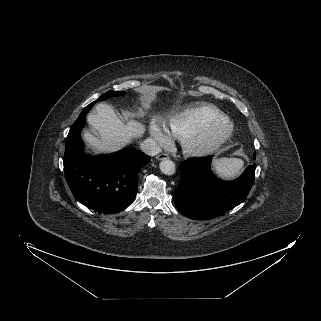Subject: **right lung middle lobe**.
Here are the masks:
<instances>
[{
    "label": "right lung middle lobe",
    "mask_w": 321,
    "mask_h": 321,
    "mask_svg": "<svg viewBox=\"0 0 321 321\" xmlns=\"http://www.w3.org/2000/svg\"><path fill=\"white\" fill-rule=\"evenodd\" d=\"M124 94H125V91H108L104 95L100 96L96 101L91 103V105H94L98 101L106 100V99L113 97V96H121Z\"/></svg>",
    "instance_id": "dd1d6c3e"
}]
</instances>
